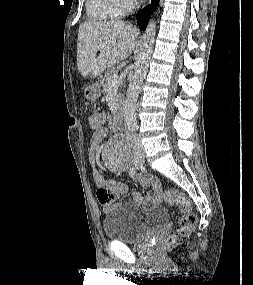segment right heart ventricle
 <instances>
[{"label": "right heart ventricle", "mask_w": 253, "mask_h": 285, "mask_svg": "<svg viewBox=\"0 0 253 285\" xmlns=\"http://www.w3.org/2000/svg\"><path fill=\"white\" fill-rule=\"evenodd\" d=\"M87 15L92 20H112L122 16L121 0H86Z\"/></svg>", "instance_id": "1"}]
</instances>
